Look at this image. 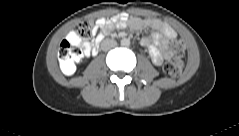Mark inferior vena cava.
Returning a JSON list of instances; mask_svg holds the SVG:
<instances>
[{
	"instance_id": "602c4592",
	"label": "inferior vena cava",
	"mask_w": 239,
	"mask_h": 136,
	"mask_svg": "<svg viewBox=\"0 0 239 136\" xmlns=\"http://www.w3.org/2000/svg\"><path fill=\"white\" fill-rule=\"evenodd\" d=\"M117 46V42L113 39H105L101 42V49L103 51H108Z\"/></svg>"
}]
</instances>
